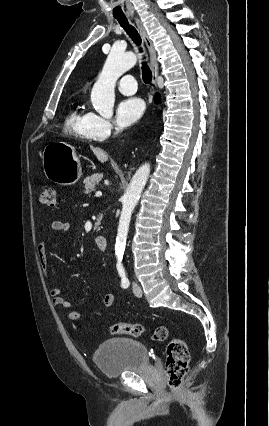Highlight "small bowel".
<instances>
[{
    "label": "small bowel",
    "mask_w": 269,
    "mask_h": 426,
    "mask_svg": "<svg viewBox=\"0 0 269 426\" xmlns=\"http://www.w3.org/2000/svg\"><path fill=\"white\" fill-rule=\"evenodd\" d=\"M51 230L54 233H65L69 230V223L65 221H59V220L54 221L51 225ZM37 253H38L39 262L43 271L45 272L47 277H50L49 257L47 252L46 241H42L39 243L37 247ZM50 295L53 299V303L55 306L63 308V309H68L71 307L70 301L62 295V292L59 288L50 289ZM114 300H115L114 294L112 292H108L103 296L102 303L104 307L110 308L113 306ZM68 317L71 321H76L79 318V315L76 312H71Z\"/></svg>",
    "instance_id": "1"
}]
</instances>
